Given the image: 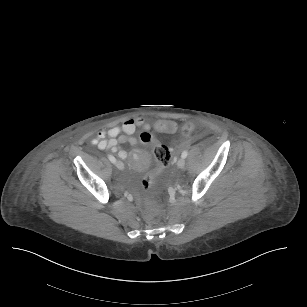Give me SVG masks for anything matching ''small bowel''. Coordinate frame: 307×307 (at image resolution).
Masks as SVG:
<instances>
[{
  "label": "small bowel",
  "instance_id": "1",
  "mask_svg": "<svg viewBox=\"0 0 307 307\" xmlns=\"http://www.w3.org/2000/svg\"><path fill=\"white\" fill-rule=\"evenodd\" d=\"M151 127L150 123L144 117L129 118L125 120L121 126L111 127L108 130L99 131L92 140V144L99 149L109 150L116 153L119 158L127 160L130 158L142 162L145 158L142 151H137L133 154L128 153L120 147L121 143H129L136 145L137 139L133 136L136 130H143Z\"/></svg>",
  "mask_w": 307,
  "mask_h": 307
}]
</instances>
